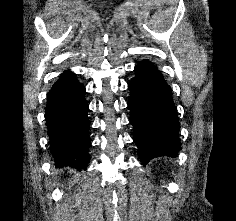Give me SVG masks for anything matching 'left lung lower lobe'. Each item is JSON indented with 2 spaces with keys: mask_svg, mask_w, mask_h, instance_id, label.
<instances>
[{
  "mask_svg": "<svg viewBox=\"0 0 236 221\" xmlns=\"http://www.w3.org/2000/svg\"><path fill=\"white\" fill-rule=\"evenodd\" d=\"M134 71L128 106L139 156L143 163L158 156H175L181 149L180 124L171 88L149 60L140 62Z\"/></svg>",
  "mask_w": 236,
  "mask_h": 221,
  "instance_id": "obj_1",
  "label": "left lung lower lobe"
}]
</instances>
